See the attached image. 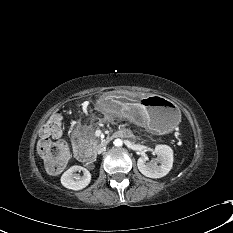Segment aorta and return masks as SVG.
I'll list each match as a JSON object with an SVG mask.
<instances>
[{"label":"aorta","mask_w":233,"mask_h":233,"mask_svg":"<svg viewBox=\"0 0 233 233\" xmlns=\"http://www.w3.org/2000/svg\"><path fill=\"white\" fill-rule=\"evenodd\" d=\"M113 144L116 147H121L123 145V141L121 139H115Z\"/></svg>","instance_id":"762f6f07"}]
</instances>
